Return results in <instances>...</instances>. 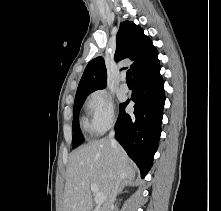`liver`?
Wrapping results in <instances>:
<instances>
[{
	"instance_id": "1",
	"label": "liver",
	"mask_w": 221,
	"mask_h": 211,
	"mask_svg": "<svg viewBox=\"0 0 221 211\" xmlns=\"http://www.w3.org/2000/svg\"><path fill=\"white\" fill-rule=\"evenodd\" d=\"M118 169L121 170L120 183L135 177V168L124 149L119 146L116 153L108 139L90 142L73 151L66 174L63 211H91L92 184L104 194L106 203Z\"/></svg>"
}]
</instances>
